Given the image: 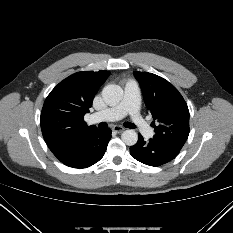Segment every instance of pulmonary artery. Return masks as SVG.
<instances>
[{
    "instance_id": "pulmonary-artery-1",
    "label": "pulmonary artery",
    "mask_w": 233,
    "mask_h": 233,
    "mask_svg": "<svg viewBox=\"0 0 233 233\" xmlns=\"http://www.w3.org/2000/svg\"><path fill=\"white\" fill-rule=\"evenodd\" d=\"M140 105V89L135 80H128L124 86V93L121 101L112 107L106 108L100 112L93 114L90 121H116L122 119L124 116L129 115L131 122L144 136H151L152 128L143 119L139 113Z\"/></svg>"
}]
</instances>
